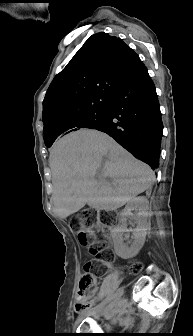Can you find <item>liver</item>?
<instances>
[{"mask_svg":"<svg viewBox=\"0 0 193 336\" xmlns=\"http://www.w3.org/2000/svg\"><path fill=\"white\" fill-rule=\"evenodd\" d=\"M49 163L54 211L60 219L86 204L96 210H116L155 181L147 164L97 130H80L58 140Z\"/></svg>","mask_w":193,"mask_h":336,"instance_id":"1","label":"liver"}]
</instances>
